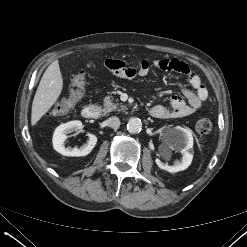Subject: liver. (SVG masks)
Wrapping results in <instances>:
<instances>
[{
    "instance_id": "1",
    "label": "liver",
    "mask_w": 247,
    "mask_h": 247,
    "mask_svg": "<svg viewBox=\"0 0 247 247\" xmlns=\"http://www.w3.org/2000/svg\"><path fill=\"white\" fill-rule=\"evenodd\" d=\"M63 88V78L58 61H53L45 70L35 93L31 125L34 126L44 116L59 98Z\"/></svg>"
}]
</instances>
